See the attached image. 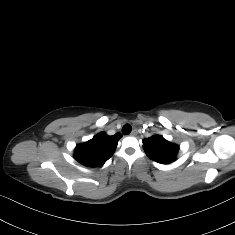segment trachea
<instances>
[{
    "label": "trachea",
    "mask_w": 235,
    "mask_h": 235,
    "mask_svg": "<svg viewBox=\"0 0 235 235\" xmlns=\"http://www.w3.org/2000/svg\"><path fill=\"white\" fill-rule=\"evenodd\" d=\"M131 131H132V127H131L130 124H125V125L123 126V128H122V133H123L124 135L129 134Z\"/></svg>",
    "instance_id": "1"
}]
</instances>
